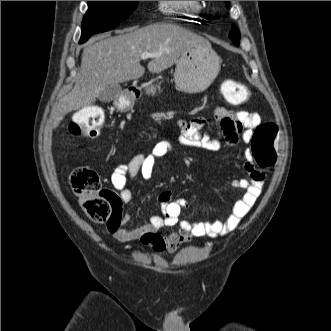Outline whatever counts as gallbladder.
<instances>
[{"mask_svg":"<svg viewBox=\"0 0 331 331\" xmlns=\"http://www.w3.org/2000/svg\"><path fill=\"white\" fill-rule=\"evenodd\" d=\"M121 94V86L119 84H111L100 92L98 99L102 102H110L117 99Z\"/></svg>","mask_w":331,"mask_h":331,"instance_id":"gallbladder-1","label":"gallbladder"}]
</instances>
